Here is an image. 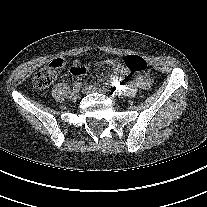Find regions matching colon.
Returning <instances> with one entry per match:
<instances>
[{
  "mask_svg": "<svg viewBox=\"0 0 207 207\" xmlns=\"http://www.w3.org/2000/svg\"><path fill=\"white\" fill-rule=\"evenodd\" d=\"M125 64L129 71L138 73L147 69L146 61L138 55H128L125 57ZM64 66V60L61 58L54 59L48 66L38 71L32 80L33 86L38 91L46 90L55 80L57 69Z\"/></svg>",
  "mask_w": 207,
  "mask_h": 207,
  "instance_id": "5ec220e1",
  "label": "colon"
}]
</instances>
